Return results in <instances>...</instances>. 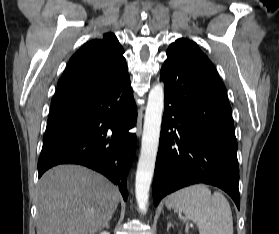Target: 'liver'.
I'll use <instances>...</instances> for the list:
<instances>
[{"instance_id": "liver-1", "label": "liver", "mask_w": 279, "mask_h": 234, "mask_svg": "<svg viewBox=\"0 0 279 234\" xmlns=\"http://www.w3.org/2000/svg\"><path fill=\"white\" fill-rule=\"evenodd\" d=\"M120 192L104 176L77 165H60L40 179L37 234H95L112 217Z\"/></svg>"}]
</instances>
